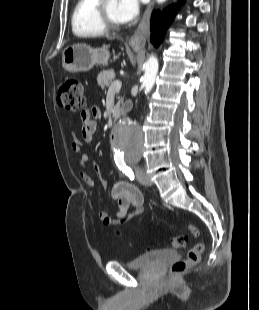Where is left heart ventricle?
<instances>
[{
    "instance_id": "1",
    "label": "left heart ventricle",
    "mask_w": 259,
    "mask_h": 310,
    "mask_svg": "<svg viewBox=\"0 0 259 310\" xmlns=\"http://www.w3.org/2000/svg\"><path fill=\"white\" fill-rule=\"evenodd\" d=\"M106 11L107 15L111 21L114 23L120 24V21L117 17V1L116 0H106Z\"/></svg>"
}]
</instances>
